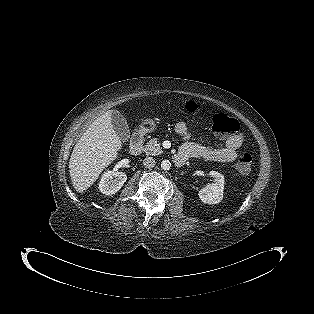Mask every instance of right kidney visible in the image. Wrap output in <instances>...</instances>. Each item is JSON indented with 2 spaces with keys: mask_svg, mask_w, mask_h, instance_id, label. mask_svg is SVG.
I'll return each mask as SVG.
<instances>
[{
  "mask_svg": "<svg viewBox=\"0 0 314 314\" xmlns=\"http://www.w3.org/2000/svg\"><path fill=\"white\" fill-rule=\"evenodd\" d=\"M127 176L119 171H107L101 177L99 189L105 195H113L121 189L126 182Z\"/></svg>",
  "mask_w": 314,
  "mask_h": 314,
  "instance_id": "obj_1",
  "label": "right kidney"
}]
</instances>
